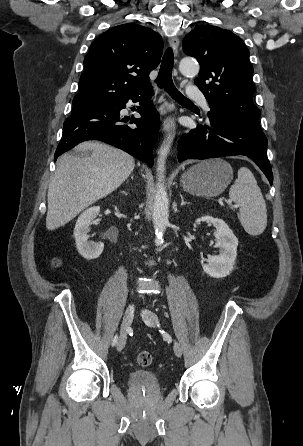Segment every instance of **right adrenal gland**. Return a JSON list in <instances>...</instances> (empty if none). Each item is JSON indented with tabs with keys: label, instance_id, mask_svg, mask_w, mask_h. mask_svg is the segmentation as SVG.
<instances>
[{
	"label": "right adrenal gland",
	"instance_id": "right-adrenal-gland-1",
	"mask_svg": "<svg viewBox=\"0 0 303 446\" xmlns=\"http://www.w3.org/2000/svg\"><path fill=\"white\" fill-rule=\"evenodd\" d=\"M134 175L131 176V178L133 179ZM123 194L127 195L128 193L126 191H123Z\"/></svg>",
	"mask_w": 303,
	"mask_h": 446
}]
</instances>
